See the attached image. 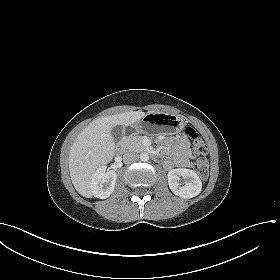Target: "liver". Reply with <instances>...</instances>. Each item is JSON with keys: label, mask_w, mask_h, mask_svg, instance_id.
<instances>
[{"label": "liver", "mask_w": 280, "mask_h": 280, "mask_svg": "<svg viewBox=\"0 0 280 280\" xmlns=\"http://www.w3.org/2000/svg\"><path fill=\"white\" fill-rule=\"evenodd\" d=\"M145 115L142 111H130L101 117L77 136L71 146L68 163L72 183L79 194L86 198L93 196L90 187L93 174L113 159L115 142L112 128L117 125L132 126Z\"/></svg>", "instance_id": "obj_1"}]
</instances>
